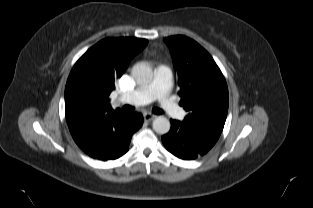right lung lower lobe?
Instances as JSON below:
<instances>
[{"label": "right lung lower lobe", "mask_w": 313, "mask_h": 208, "mask_svg": "<svg viewBox=\"0 0 313 208\" xmlns=\"http://www.w3.org/2000/svg\"><path fill=\"white\" fill-rule=\"evenodd\" d=\"M66 120L77 145L90 157L103 161L124 155L132 135L142 126L140 114L118 110L66 115Z\"/></svg>", "instance_id": "right-lung-lower-lobe-1"}]
</instances>
